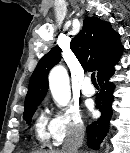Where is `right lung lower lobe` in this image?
<instances>
[{"label":"right lung lower lobe","mask_w":130,"mask_h":153,"mask_svg":"<svg viewBox=\"0 0 130 153\" xmlns=\"http://www.w3.org/2000/svg\"><path fill=\"white\" fill-rule=\"evenodd\" d=\"M118 62V61H117ZM117 62L115 64H117ZM109 67L98 78L100 92L96 95V106L101 112V117L92 122L87 128V145L92 149H98L102 140L106 136L109 127V121L112 116V101L114 84L109 82L114 73V65Z\"/></svg>","instance_id":"obj_1"}]
</instances>
